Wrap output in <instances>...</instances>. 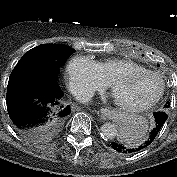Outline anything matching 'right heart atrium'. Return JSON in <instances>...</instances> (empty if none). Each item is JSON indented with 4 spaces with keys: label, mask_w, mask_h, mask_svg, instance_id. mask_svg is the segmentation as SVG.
<instances>
[{
    "label": "right heart atrium",
    "mask_w": 177,
    "mask_h": 177,
    "mask_svg": "<svg viewBox=\"0 0 177 177\" xmlns=\"http://www.w3.org/2000/svg\"><path fill=\"white\" fill-rule=\"evenodd\" d=\"M67 76L71 91L78 97H89L107 86L95 62L84 56L69 61Z\"/></svg>",
    "instance_id": "obj_1"
}]
</instances>
